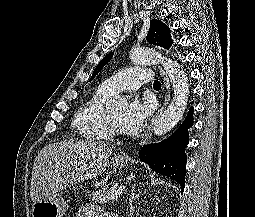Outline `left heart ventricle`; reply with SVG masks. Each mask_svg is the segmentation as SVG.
Returning a JSON list of instances; mask_svg holds the SVG:
<instances>
[{"label": "left heart ventricle", "mask_w": 255, "mask_h": 217, "mask_svg": "<svg viewBox=\"0 0 255 217\" xmlns=\"http://www.w3.org/2000/svg\"><path fill=\"white\" fill-rule=\"evenodd\" d=\"M113 119V121L115 122V124L117 125V127L120 129V123H121V120L125 114V111L124 110H116V111H113V112H110L109 113Z\"/></svg>", "instance_id": "b2bd125f"}]
</instances>
